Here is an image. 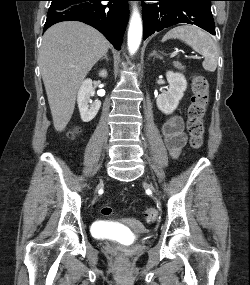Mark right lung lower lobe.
<instances>
[{
	"instance_id": "98d812e1",
	"label": "right lung lower lobe",
	"mask_w": 250,
	"mask_h": 285,
	"mask_svg": "<svg viewBox=\"0 0 250 285\" xmlns=\"http://www.w3.org/2000/svg\"><path fill=\"white\" fill-rule=\"evenodd\" d=\"M101 1L63 0L52 3L43 31L61 21H81L99 30L116 50H120L128 22L129 0H107L108 5L101 4Z\"/></svg>"
}]
</instances>
